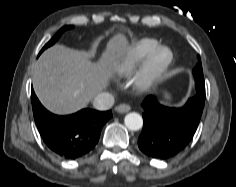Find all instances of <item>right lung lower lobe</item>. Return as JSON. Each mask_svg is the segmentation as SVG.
<instances>
[{"label":"right lung lower lobe","mask_w":236,"mask_h":187,"mask_svg":"<svg viewBox=\"0 0 236 187\" xmlns=\"http://www.w3.org/2000/svg\"><path fill=\"white\" fill-rule=\"evenodd\" d=\"M33 115L39 133L47 146L64 159L87 155L97 144L103 125L111 111L83 109L75 114L58 116L47 111L31 91Z\"/></svg>","instance_id":"98d812e1"}]
</instances>
